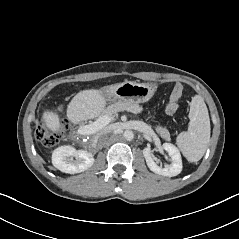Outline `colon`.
I'll list each match as a JSON object with an SVG mask.
<instances>
[{
    "label": "colon",
    "mask_w": 239,
    "mask_h": 239,
    "mask_svg": "<svg viewBox=\"0 0 239 239\" xmlns=\"http://www.w3.org/2000/svg\"><path fill=\"white\" fill-rule=\"evenodd\" d=\"M35 137L43 145L50 147L58 142L60 133L54 132L46 125L41 124L35 130Z\"/></svg>",
    "instance_id": "colon-1"
}]
</instances>
